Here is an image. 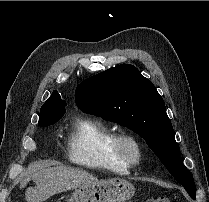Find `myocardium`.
Masks as SVG:
<instances>
[{
  "label": "myocardium",
  "instance_id": "1",
  "mask_svg": "<svg viewBox=\"0 0 209 202\" xmlns=\"http://www.w3.org/2000/svg\"><path fill=\"white\" fill-rule=\"evenodd\" d=\"M112 152L119 160L135 165L141 160L142 146L133 133L120 132L113 139Z\"/></svg>",
  "mask_w": 209,
  "mask_h": 202
}]
</instances>
